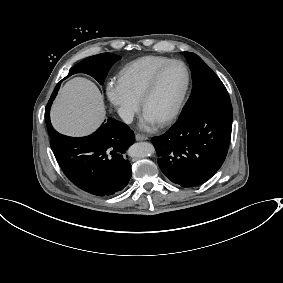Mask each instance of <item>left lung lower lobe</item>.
<instances>
[{
	"label": "left lung lower lobe",
	"mask_w": 283,
	"mask_h": 283,
	"mask_svg": "<svg viewBox=\"0 0 283 283\" xmlns=\"http://www.w3.org/2000/svg\"><path fill=\"white\" fill-rule=\"evenodd\" d=\"M232 118L231 103L207 105L154 137L158 165L165 176L182 187L210 179L227 155Z\"/></svg>",
	"instance_id": "left-lung-lower-lobe-1"
}]
</instances>
